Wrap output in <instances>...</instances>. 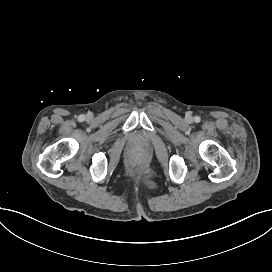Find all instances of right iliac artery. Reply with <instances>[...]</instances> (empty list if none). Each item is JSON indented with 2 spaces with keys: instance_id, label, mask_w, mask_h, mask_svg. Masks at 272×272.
I'll list each match as a JSON object with an SVG mask.
<instances>
[{
  "instance_id": "obj_1",
  "label": "right iliac artery",
  "mask_w": 272,
  "mask_h": 272,
  "mask_svg": "<svg viewBox=\"0 0 272 272\" xmlns=\"http://www.w3.org/2000/svg\"><path fill=\"white\" fill-rule=\"evenodd\" d=\"M84 119H85V116H84V115H80L79 118H78V120H79L80 122L84 121Z\"/></svg>"
}]
</instances>
